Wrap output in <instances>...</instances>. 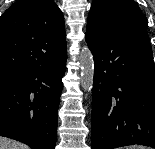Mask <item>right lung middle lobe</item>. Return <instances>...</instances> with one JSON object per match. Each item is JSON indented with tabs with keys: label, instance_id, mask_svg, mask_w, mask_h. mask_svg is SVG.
Returning a JSON list of instances; mask_svg holds the SVG:
<instances>
[{
	"label": "right lung middle lobe",
	"instance_id": "obj_1",
	"mask_svg": "<svg viewBox=\"0 0 155 149\" xmlns=\"http://www.w3.org/2000/svg\"><path fill=\"white\" fill-rule=\"evenodd\" d=\"M21 75L13 71H0V87L16 84Z\"/></svg>",
	"mask_w": 155,
	"mask_h": 149
}]
</instances>
